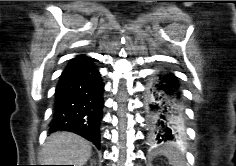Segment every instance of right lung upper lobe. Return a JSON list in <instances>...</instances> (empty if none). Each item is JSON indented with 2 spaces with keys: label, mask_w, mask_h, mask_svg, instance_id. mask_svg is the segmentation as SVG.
Returning <instances> with one entry per match:
<instances>
[{
  "label": "right lung upper lobe",
  "mask_w": 236,
  "mask_h": 166,
  "mask_svg": "<svg viewBox=\"0 0 236 166\" xmlns=\"http://www.w3.org/2000/svg\"><path fill=\"white\" fill-rule=\"evenodd\" d=\"M90 59H92V58L87 57L85 55H79V56L73 58L71 63L82 62V61H86V60H90Z\"/></svg>",
  "instance_id": "cb5924a9"
}]
</instances>
